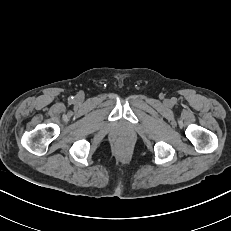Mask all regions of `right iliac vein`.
<instances>
[{"label":"right iliac vein","mask_w":231,"mask_h":231,"mask_svg":"<svg viewBox=\"0 0 231 231\" xmlns=\"http://www.w3.org/2000/svg\"><path fill=\"white\" fill-rule=\"evenodd\" d=\"M77 99H78V100H82V97L79 96V97H77Z\"/></svg>","instance_id":"63e3f726"}]
</instances>
